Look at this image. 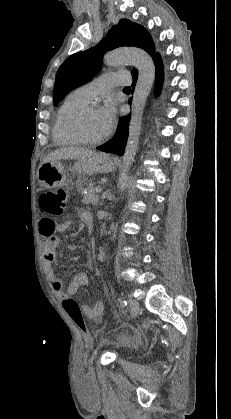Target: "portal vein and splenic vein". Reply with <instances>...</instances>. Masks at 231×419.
Instances as JSON below:
<instances>
[{
    "mask_svg": "<svg viewBox=\"0 0 231 419\" xmlns=\"http://www.w3.org/2000/svg\"><path fill=\"white\" fill-rule=\"evenodd\" d=\"M101 191H102V188H101V187H96V188H95V192H96V193H100Z\"/></svg>",
    "mask_w": 231,
    "mask_h": 419,
    "instance_id": "1",
    "label": "portal vein and splenic vein"
}]
</instances>
